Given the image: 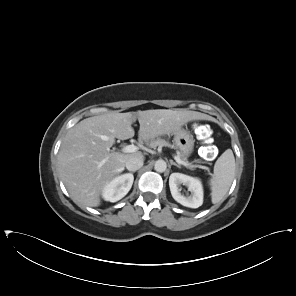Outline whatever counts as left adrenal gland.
<instances>
[{"mask_svg":"<svg viewBox=\"0 0 296 296\" xmlns=\"http://www.w3.org/2000/svg\"><path fill=\"white\" fill-rule=\"evenodd\" d=\"M170 164H171V165H174V166H176V167H178V168H181L180 165H178L177 163L173 162L172 160H170Z\"/></svg>","mask_w":296,"mask_h":296,"instance_id":"1","label":"left adrenal gland"}]
</instances>
